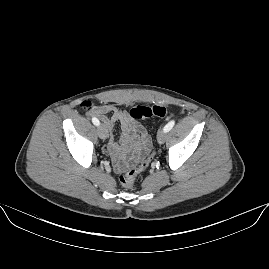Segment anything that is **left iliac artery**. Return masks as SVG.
<instances>
[{"instance_id":"44dca946","label":"left iliac artery","mask_w":269,"mask_h":269,"mask_svg":"<svg viewBox=\"0 0 269 269\" xmlns=\"http://www.w3.org/2000/svg\"><path fill=\"white\" fill-rule=\"evenodd\" d=\"M174 124H175V121L174 120L170 121L167 125H165L164 131L165 132L170 131L173 128Z\"/></svg>"}]
</instances>
